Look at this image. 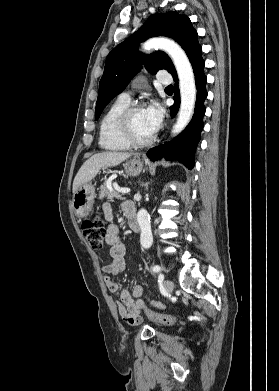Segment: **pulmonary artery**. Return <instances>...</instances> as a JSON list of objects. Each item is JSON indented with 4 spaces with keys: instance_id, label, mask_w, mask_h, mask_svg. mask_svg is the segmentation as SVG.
Returning a JSON list of instances; mask_svg holds the SVG:
<instances>
[{
    "instance_id": "pulmonary-artery-1",
    "label": "pulmonary artery",
    "mask_w": 279,
    "mask_h": 391,
    "mask_svg": "<svg viewBox=\"0 0 279 391\" xmlns=\"http://www.w3.org/2000/svg\"><path fill=\"white\" fill-rule=\"evenodd\" d=\"M157 80H158L159 83H162V84H169V83L172 82V77H171V75L168 74V73H161V74H159ZM121 97L130 99V95H129L128 93H123V94H121Z\"/></svg>"
}]
</instances>
